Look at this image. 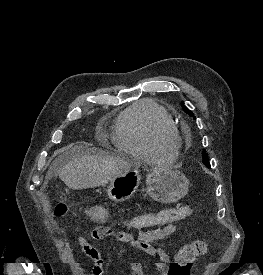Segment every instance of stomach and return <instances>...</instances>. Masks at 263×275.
I'll return each mask as SVG.
<instances>
[{"label": "stomach", "mask_w": 263, "mask_h": 275, "mask_svg": "<svg viewBox=\"0 0 263 275\" xmlns=\"http://www.w3.org/2000/svg\"><path fill=\"white\" fill-rule=\"evenodd\" d=\"M140 165H134L121 175L112 179L107 193L114 202H123L137 191L140 182ZM147 193L160 203H173L188 192L189 181L186 176L168 166H156L146 178Z\"/></svg>", "instance_id": "0dacf381"}]
</instances>
